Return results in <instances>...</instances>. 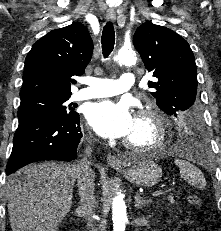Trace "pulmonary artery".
I'll use <instances>...</instances> for the list:
<instances>
[{
    "label": "pulmonary artery",
    "mask_w": 221,
    "mask_h": 231,
    "mask_svg": "<svg viewBox=\"0 0 221 231\" xmlns=\"http://www.w3.org/2000/svg\"><path fill=\"white\" fill-rule=\"evenodd\" d=\"M84 83L88 86L75 93L74 98L76 100L108 97L123 93L135 85V76L126 72L121 75L119 80L89 77L84 79Z\"/></svg>",
    "instance_id": "pulmonary-artery-1"
}]
</instances>
